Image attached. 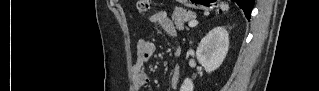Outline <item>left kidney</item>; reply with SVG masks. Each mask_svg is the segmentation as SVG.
<instances>
[{
  "instance_id": "left-kidney-1",
  "label": "left kidney",
  "mask_w": 319,
  "mask_h": 91,
  "mask_svg": "<svg viewBox=\"0 0 319 91\" xmlns=\"http://www.w3.org/2000/svg\"><path fill=\"white\" fill-rule=\"evenodd\" d=\"M229 49V35L227 30L218 26L204 36L196 50V57L207 73L220 67ZM194 84L186 78L181 86V91H193Z\"/></svg>"
}]
</instances>
